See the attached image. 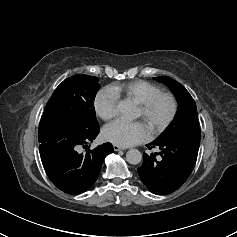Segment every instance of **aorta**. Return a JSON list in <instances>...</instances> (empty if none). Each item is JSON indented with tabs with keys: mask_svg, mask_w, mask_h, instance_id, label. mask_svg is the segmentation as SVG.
Masks as SVG:
<instances>
[{
	"mask_svg": "<svg viewBox=\"0 0 237 237\" xmlns=\"http://www.w3.org/2000/svg\"><path fill=\"white\" fill-rule=\"evenodd\" d=\"M118 108L120 110V113L124 117L126 118L132 117V109L127 103L121 102ZM126 160L128 163L133 164V165L139 164L142 160V154L138 149H130L126 153Z\"/></svg>",
	"mask_w": 237,
	"mask_h": 237,
	"instance_id": "762f6f07",
	"label": "aorta"
}]
</instances>
